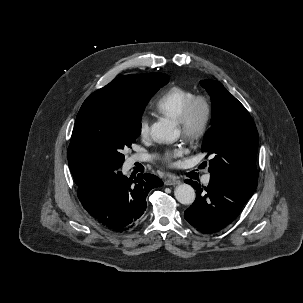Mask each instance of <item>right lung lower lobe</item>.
<instances>
[{
	"mask_svg": "<svg viewBox=\"0 0 303 303\" xmlns=\"http://www.w3.org/2000/svg\"><path fill=\"white\" fill-rule=\"evenodd\" d=\"M76 185L78 198L88 213L109 229L123 232L139 222L148 192L163 182L152 174H139L132 181L119 170H104Z\"/></svg>",
	"mask_w": 303,
	"mask_h": 303,
	"instance_id": "right-lung-lower-lobe-1",
	"label": "right lung lower lobe"
}]
</instances>
